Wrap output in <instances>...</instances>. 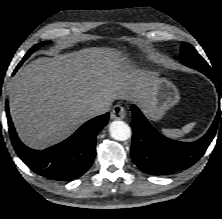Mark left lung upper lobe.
I'll list each match as a JSON object with an SVG mask.
<instances>
[{
	"instance_id": "1",
	"label": "left lung upper lobe",
	"mask_w": 222,
	"mask_h": 219,
	"mask_svg": "<svg viewBox=\"0 0 222 219\" xmlns=\"http://www.w3.org/2000/svg\"><path fill=\"white\" fill-rule=\"evenodd\" d=\"M181 62L189 67L209 69L207 62L197 53L195 48L186 42H182Z\"/></svg>"
}]
</instances>
